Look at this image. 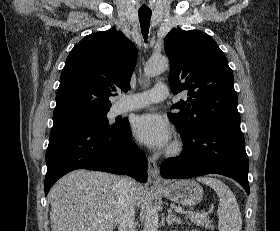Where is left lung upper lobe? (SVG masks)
Masks as SVG:
<instances>
[{
	"label": "left lung upper lobe",
	"mask_w": 280,
	"mask_h": 231,
	"mask_svg": "<svg viewBox=\"0 0 280 231\" xmlns=\"http://www.w3.org/2000/svg\"><path fill=\"white\" fill-rule=\"evenodd\" d=\"M170 61L173 94L187 91V99L168 113L180 133L211 123H240L233 72L217 43L198 30H171L164 40Z\"/></svg>",
	"instance_id": "5c2ea615"
}]
</instances>
